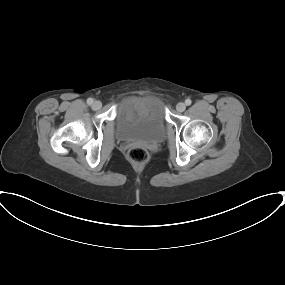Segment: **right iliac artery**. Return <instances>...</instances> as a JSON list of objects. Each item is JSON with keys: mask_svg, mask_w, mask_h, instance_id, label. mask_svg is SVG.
I'll return each instance as SVG.
<instances>
[{"mask_svg": "<svg viewBox=\"0 0 285 285\" xmlns=\"http://www.w3.org/2000/svg\"><path fill=\"white\" fill-rule=\"evenodd\" d=\"M92 103H93V99H92V98H88V99H87V104H88V105H91Z\"/></svg>", "mask_w": 285, "mask_h": 285, "instance_id": "obj_1", "label": "right iliac artery"}]
</instances>
